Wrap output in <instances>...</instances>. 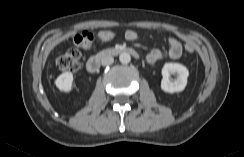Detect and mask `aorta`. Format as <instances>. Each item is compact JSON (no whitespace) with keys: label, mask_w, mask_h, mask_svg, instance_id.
I'll return each instance as SVG.
<instances>
[{"label":"aorta","mask_w":244,"mask_h":157,"mask_svg":"<svg viewBox=\"0 0 244 157\" xmlns=\"http://www.w3.org/2000/svg\"><path fill=\"white\" fill-rule=\"evenodd\" d=\"M119 60L122 64H128L131 61V56L128 53H121Z\"/></svg>","instance_id":"762f6f07"}]
</instances>
